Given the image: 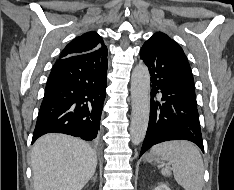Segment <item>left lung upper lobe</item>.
Listing matches in <instances>:
<instances>
[{
	"label": "left lung upper lobe",
	"instance_id": "obj_1",
	"mask_svg": "<svg viewBox=\"0 0 234 190\" xmlns=\"http://www.w3.org/2000/svg\"><path fill=\"white\" fill-rule=\"evenodd\" d=\"M161 40H168L173 43L175 50V79L180 86L185 89L192 96H196L194 90V80L190 65L182 48L166 34L162 32L155 33L143 46L154 47L157 42Z\"/></svg>",
	"mask_w": 234,
	"mask_h": 190
}]
</instances>
